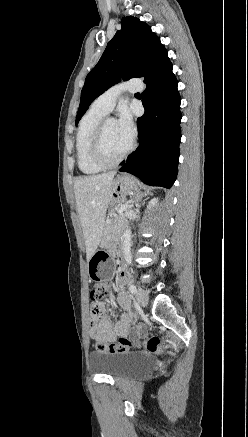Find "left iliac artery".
Instances as JSON below:
<instances>
[{"label": "left iliac artery", "instance_id": "1", "mask_svg": "<svg viewBox=\"0 0 248 437\" xmlns=\"http://www.w3.org/2000/svg\"><path fill=\"white\" fill-rule=\"evenodd\" d=\"M129 290L131 293H136L137 289L135 285H130Z\"/></svg>", "mask_w": 248, "mask_h": 437}]
</instances>
